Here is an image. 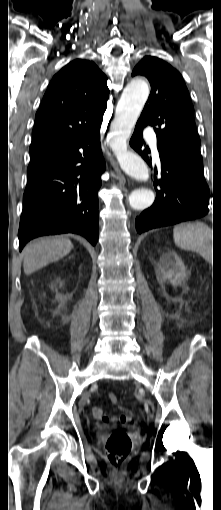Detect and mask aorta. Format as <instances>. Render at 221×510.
I'll list each match as a JSON object with an SVG mask.
<instances>
[{"label": "aorta", "instance_id": "obj_1", "mask_svg": "<svg viewBox=\"0 0 221 510\" xmlns=\"http://www.w3.org/2000/svg\"><path fill=\"white\" fill-rule=\"evenodd\" d=\"M149 86L142 79L132 80L123 90L118 102L115 118L111 124L110 146L121 169L139 181H148L149 170L145 161L136 153L128 151L127 139L148 99ZM155 195L150 189H136L128 197L129 206L144 210L152 205Z\"/></svg>", "mask_w": 221, "mask_h": 510}]
</instances>
